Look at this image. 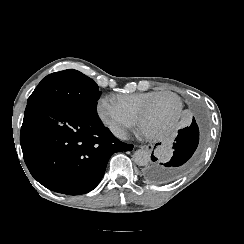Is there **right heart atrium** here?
Listing matches in <instances>:
<instances>
[{"mask_svg": "<svg viewBox=\"0 0 244 244\" xmlns=\"http://www.w3.org/2000/svg\"><path fill=\"white\" fill-rule=\"evenodd\" d=\"M97 112L102 122L117 136L124 135L137 124V113L130 105H116L104 99L98 103Z\"/></svg>", "mask_w": 244, "mask_h": 244, "instance_id": "obj_1", "label": "right heart atrium"}]
</instances>
